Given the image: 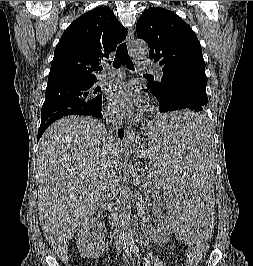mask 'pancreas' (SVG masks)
<instances>
[{
    "mask_svg": "<svg viewBox=\"0 0 253 266\" xmlns=\"http://www.w3.org/2000/svg\"><path fill=\"white\" fill-rule=\"evenodd\" d=\"M151 178V177H150ZM150 178L146 177L144 179V183H146V185L150 186L152 184V182L150 181Z\"/></svg>",
    "mask_w": 253,
    "mask_h": 266,
    "instance_id": "cf45deb5",
    "label": "pancreas"
}]
</instances>
